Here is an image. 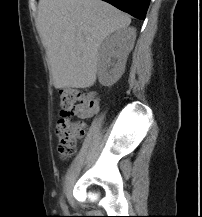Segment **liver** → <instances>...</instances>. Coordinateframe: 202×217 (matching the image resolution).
<instances>
[{"label": "liver", "instance_id": "6515ba94", "mask_svg": "<svg viewBox=\"0 0 202 217\" xmlns=\"http://www.w3.org/2000/svg\"><path fill=\"white\" fill-rule=\"evenodd\" d=\"M130 23L127 14L102 0H39L36 28L54 87L94 85L101 43Z\"/></svg>", "mask_w": 202, "mask_h": 217}]
</instances>
